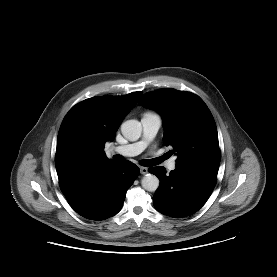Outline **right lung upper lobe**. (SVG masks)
Returning a JSON list of instances; mask_svg holds the SVG:
<instances>
[{"label": "right lung upper lobe", "mask_w": 277, "mask_h": 277, "mask_svg": "<svg viewBox=\"0 0 277 277\" xmlns=\"http://www.w3.org/2000/svg\"><path fill=\"white\" fill-rule=\"evenodd\" d=\"M142 92L102 96L76 104L65 116L57 138L55 165L59 181L111 162L104 145L112 141L121 122Z\"/></svg>", "instance_id": "right-lung-upper-lobe-1"}]
</instances>
